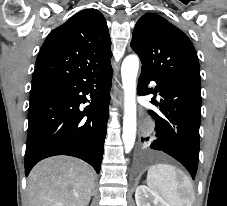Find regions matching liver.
I'll return each instance as SVG.
<instances>
[{
	"label": "liver",
	"mask_w": 227,
	"mask_h": 206,
	"mask_svg": "<svg viewBox=\"0 0 227 206\" xmlns=\"http://www.w3.org/2000/svg\"><path fill=\"white\" fill-rule=\"evenodd\" d=\"M94 172L85 162L67 156L40 161L27 181L28 206H88Z\"/></svg>",
	"instance_id": "obj_1"
}]
</instances>
